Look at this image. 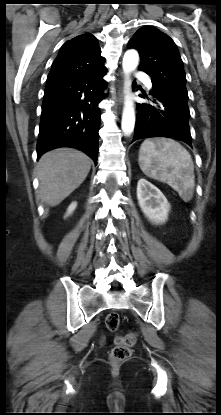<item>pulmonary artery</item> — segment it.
I'll list each match as a JSON object with an SVG mask.
<instances>
[{
    "instance_id": "obj_1",
    "label": "pulmonary artery",
    "mask_w": 221,
    "mask_h": 415,
    "mask_svg": "<svg viewBox=\"0 0 221 415\" xmlns=\"http://www.w3.org/2000/svg\"><path fill=\"white\" fill-rule=\"evenodd\" d=\"M136 77L145 83V85L147 86V88L151 89L152 88V83L150 78L143 72H138Z\"/></svg>"
}]
</instances>
